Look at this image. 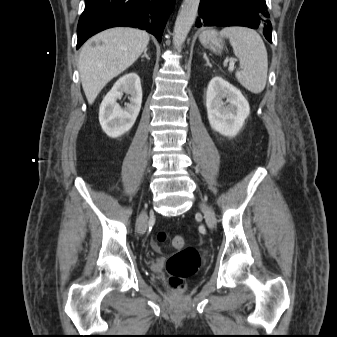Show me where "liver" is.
<instances>
[{"label": "liver", "instance_id": "6515ba94", "mask_svg": "<svg viewBox=\"0 0 337 337\" xmlns=\"http://www.w3.org/2000/svg\"><path fill=\"white\" fill-rule=\"evenodd\" d=\"M148 43L147 32L117 27L99 33L83 45L79 57V72L89 104L95 101L111 79L140 57Z\"/></svg>", "mask_w": 337, "mask_h": 337}]
</instances>
